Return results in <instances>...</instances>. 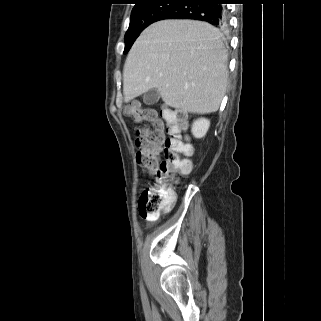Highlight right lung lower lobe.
Wrapping results in <instances>:
<instances>
[{
    "label": "right lung lower lobe",
    "instance_id": "obj_1",
    "mask_svg": "<svg viewBox=\"0 0 321 321\" xmlns=\"http://www.w3.org/2000/svg\"><path fill=\"white\" fill-rule=\"evenodd\" d=\"M226 0H178L177 4L162 14L164 19H194L205 21L218 28L227 25Z\"/></svg>",
    "mask_w": 321,
    "mask_h": 321
}]
</instances>
